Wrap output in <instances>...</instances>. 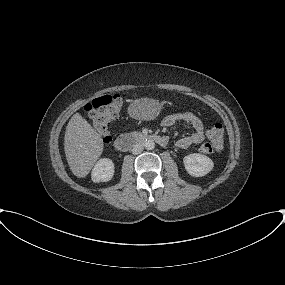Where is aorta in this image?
Returning a JSON list of instances; mask_svg holds the SVG:
<instances>
[{"label":"aorta","mask_w":285,"mask_h":285,"mask_svg":"<svg viewBox=\"0 0 285 285\" xmlns=\"http://www.w3.org/2000/svg\"><path fill=\"white\" fill-rule=\"evenodd\" d=\"M143 146L146 150H153L155 147V143L152 140H146L144 142Z\"/></svg>","instance_id":"aorta-1"}]
</instances>
